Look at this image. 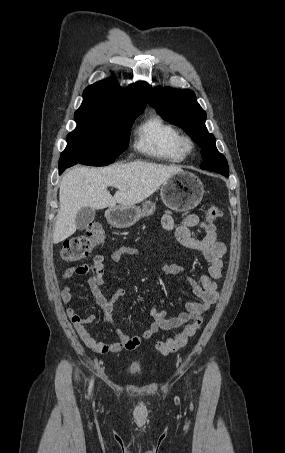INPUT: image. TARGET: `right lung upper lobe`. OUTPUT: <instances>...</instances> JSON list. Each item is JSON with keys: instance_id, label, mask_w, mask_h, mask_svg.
Listing matches in <instances>:
<instances>
[{"instance_id": "obj_1", "label": "right lung upper lobe", "mask_w": 285, "mask_h": 453, "mask_svg": "<svg viewBox=\"0 0 285 453\" xmlns=\"http://www.w3.org/2000/svg\"><path fill=\"white\" fill-rule=\"evenodd\" d=\"M150 92L151 86L145 82H137L124 89L113 79L103 80L84 90L80 108L113 112L143 111Z\"/></svg>"}]
</instances>
